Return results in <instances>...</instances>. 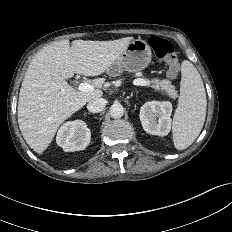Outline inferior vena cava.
Here are the masks:
<instances>
[{"label": "inferior vena cava", "mask_w": 232, "mask_h": 232, "mask_svg": "<svg viewBox=\"0 0 232 232\" xmlns=\"http://www.w3.org/2000/svg\"><path fill=\"white\" fill-rule=\"evenodd\" d=\"M107 101L103 98H95L91 101H89L87 105L88 111L92 113H99L101 112L104 107L106 106Z\"/></svg>", "instance_id": "602c4592"}]
</instances>
